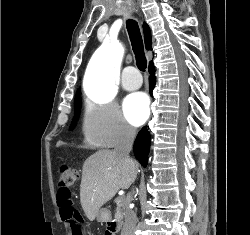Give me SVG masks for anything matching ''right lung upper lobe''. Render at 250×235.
Listing matches in <instances>:
<instances>
[{"label": "right lung upper lobe", "mask_w": 250, "mask_h": 235, "mask_svg": "<svg viewBox=\"0 0 250 235\" xmlns=\"http://www.w3.org/2000/svg\"><path fill=\"white\" fill-rule=\"evenodd\" d=\"M143 29H144V38H145L146 49L150 50L152 39H151V33H150L149 26L146 23H144ZM78 94H81L80 89L77 90L76 95H78Z\"/></svg>", "instance_id": "1"}]
</instances>
